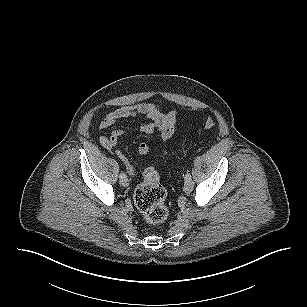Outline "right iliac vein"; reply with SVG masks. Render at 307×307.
Returning a JSON list of instances; mask_svg holds the SVG:
<instances>
[{"instance_id":"obj_1","label":"right iliac vein","mask_w":307,"mask_h":307,"mask_svg":"<svg viewBox=\"0 0 307 307\" xmlns=\"http://www.w3.org/2000/svg\"><path fill=\"white\" fill-rule=\"evenodd\" d=\"M120 184L123 186V187H127L129 185V180L127 179V177H123L120 179Z\"/></svg>"}]
</instances>
